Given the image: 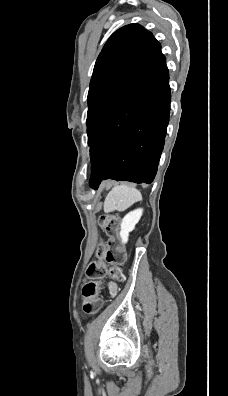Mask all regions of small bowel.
<instances>
[{"instance_id": "obj_1", "label": "small bowel", "mask_w": 228, "mask_h": 396, "mask_svg": "<svg viewBox=\"0 0 228 396\" xmlns=\"http://www.w3.org/2000/svg\"><path fill=\"white\" fill-rule=\"evenodd\" d=\"M108 288H109V291H110V295H111V296H115V295H116V292H117V286H116V284L110 283V284L108 285Z\"/></svg>"}]
</instances>
